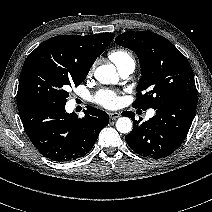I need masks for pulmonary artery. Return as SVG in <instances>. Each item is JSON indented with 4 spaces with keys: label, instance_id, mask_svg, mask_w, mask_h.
I'll list each match as a JSON object with an SVG mask.
<instances>
[{
    "label": "pulmonary artery",
    "instance_id": "obj_1",
    "mask_svg": "<svg viewBox=\"0 0 212 212\" xmlns=\"http://www.w3.org/2000/svg\"><path fill=\"white\" fill-rule=\"evenodd\" d=\"M135 69L134 61H128L125 64L118 67L119 73L123 78L128 77ZM155 114L154 110H149L147 116L149 118L153 117Z\"/></svg>",
    "mask_w": 212,
    "mask_h": 212
}]
</instances>
